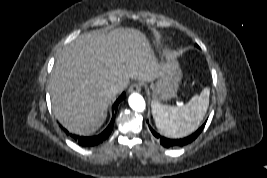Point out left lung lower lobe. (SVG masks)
Here are the masks:
<instances>
[{
  "instance_id": "obj_1",
  "label": "left lung lower lobe",
  "mask_w": 267,
  "mask_h": 178,
  "mask_svg": "<svg viewBox=\"0 0 267 178\" xmlns=\"http://www.w3.org/2000/svg\"><path fill=\"white\" fill-rule=\"evenodd\" d=\"M205 124H203L196 132H194L192 135L182 138V139H169L163 136H160L157 132H155L150 126V130L152 132V134L159 139L161 145H163L166 148H170V147H181L184 145L189 144L190 142L194 141L198 135L202 132L203 128H204Z\"/></svg>"
}]
</instances>
